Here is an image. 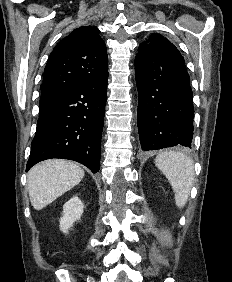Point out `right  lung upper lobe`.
<instances>
[{
    "mask_svg": "<svg viewBox=\"0 0 232 282\" xmlns=\"http://www.w3.org/2000/svg\"><path fill=\"white\" fill-rule=\"evenodd\" d=\"M105 42L95 26H81L62 39L44 69L41 98L58 99L71 87L108 72Z\"/></svg>",
    "mask_w": 232,
    "mask_h": 282,
    "instance_id": "right-lung-upper-lobe-1",
    "label": "right lung upper lobe"
}]
</instances>
